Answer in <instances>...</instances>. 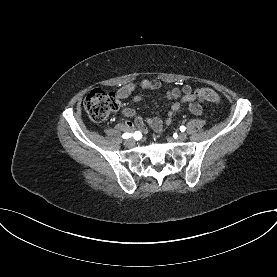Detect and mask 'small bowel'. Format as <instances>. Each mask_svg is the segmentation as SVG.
<instances>
[{
    "label": "small bowel",
    "instance_id": "small-bowel-1",
    "mask_svg": "<svg viewBox=\"0 0 277 277\" xmlns=\"http://www.w3.org/2000/svg\"><path fill=\"white\" fill-rule=\"evenodd\" d=\"M161 86L160 82L157 80H148L144 79L138 83H129L117 90L115 93L116 98L118 100H123L131 96L133 93L140 89L144 90H157ZM164 98L167 100H174L171 105V109L167 112L164 120L159 117H149L146 120V123L157 133H161L163 131L164 124L169 125L172 122L174 113L178 111L182 105H187L189 111L199 116L202 114V106L201 103L204 102V99L196 96L193 92L191 86L184 85L182 87H173L169 89ZM135 102H140L143 100L142 96H135L133 99ZM124 114L127 117L134 118V124L139 132L145 134L147 132L145 121L142 117L138 116L132 109H125ZM124 129H132L133 124L129 121H126L122 124Z\"/></svg>",
    "mask_w": 277,
    "mask_h": 277
}]
</instances>
